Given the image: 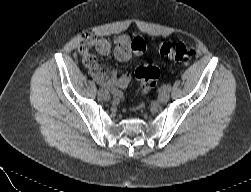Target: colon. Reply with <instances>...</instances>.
<instances>
[{
    "label": "colon",
    "mask_w": 251,
    "mask_h": 192,
    "mask_svg": "<svg viewBox=\"0 0 251 192\" xmlns=\"http://www.w3.org/2000/svg\"><path fill=\"white\" fill-rule=\"evenodd\" d=\"M159 53L179 62H189L194 56V50L183 42H163ZM160 76L157 66L152 63H142L135 70V77L140 81L143 93L150 92Z\"/></svg>",
    "instance_id": "1"
}]
</instances>
